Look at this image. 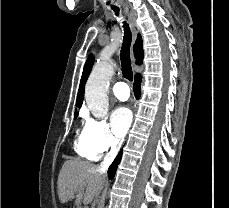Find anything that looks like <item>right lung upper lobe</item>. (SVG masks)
Masks as SVG:
<instances>
[{
	"label": "right lung upper lobe",
	"mask_w": 229,
	"mask_h": 208,
	"mask_svg": "<svg viewBox=\"0 0 229 208\" xmlns=\"http://www.w3.org/2000/svg\"><path fill=\"white\" fill-rule=\"evenodd\" d=\"M134 51V55L136 57V63L138 65H140L143 61V57H144V52H143V47H142V38L140 36V34H138L136 43L134 45L133 48ZM94 62V57L93 55H90L88 60L86 61V64L84 66V70H83V74L81 77V81H80V86H79V91H78V96H77V101H76V106L78 108L81 107L83 99H84V87H85V83L87 81V78L91 72L92 69V65ZM78 116L77 111L75 112V118Z\"/></svg>",
	"instance_id": "1"
}]
</instances>
